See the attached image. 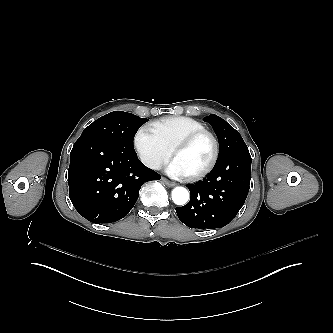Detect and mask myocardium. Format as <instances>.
<instances>
[{
	"label": "myocardium",
	"mask_w": 333,
	"mask_h": 333,
	"mask_svg": "<svg viewBox=\"0 0 333 333\" xmlns=\"http://www.w3.org/2000/svg\"><path fill=\"white\" fill-rule=\"evenodd\" d=\"M202 136H208L210 138V140L212 141L213 154H212L209 162L204 167H202L200 170H198L194 174L186 177L187 181L198 180V179L202 178L203 176H205L207 173H209L214 168V166L219 158V154H220V146H219L218 139L211 131H208L206 129L198 130V131L192 132V133L186 135L185 137H183L182 139H180L171 149L170 157H172L176 152L189 147L191 144H193L196 140H198Z\"/></svg>",
	"instance_id": "myocardium-1"
}]
</instances>
